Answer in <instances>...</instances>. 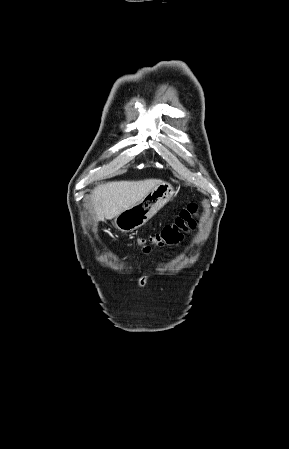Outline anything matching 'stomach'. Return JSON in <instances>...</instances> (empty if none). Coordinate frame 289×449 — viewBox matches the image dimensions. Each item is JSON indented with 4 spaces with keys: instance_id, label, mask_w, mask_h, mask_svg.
<instances>
[{
    "instance_id": "1",
    "label": "stomach",
    "mask_w": 289,
    "mask_h": 449,
    "mask_svg": "<svg viewBox=\"0 0 289 449\" xmlns=\"http://www.w3.org/2000/svg\"><path fill=\"white\" fill-rule=\"evenodd\" d=\"M174 194V188L170 183H159L142 200L117 215L113 226L122 232H130L143 226L173 198Z\"/></svg>"
}]
</instances>
